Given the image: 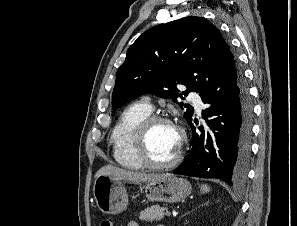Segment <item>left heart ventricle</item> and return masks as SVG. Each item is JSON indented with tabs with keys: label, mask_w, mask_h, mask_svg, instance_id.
Wrapping results in <instances>:
<instances>
[{
	"label": "left heart ventricle",
	"mask_w": 297,
	"mask_h": 226,
	"mask_svg": "<svg viewBox=\"0 0 297 226\" xmlns=\"http://www.w3.org/2000/svg\"><path fill=\"white\" fill-rule=\"evenodd\" d=\"M178 131L167 123L155 124L147 139V148L150 157L156 162L170 160L178 147Z\"/></svg>",
	"instance_id": "obj_1"
}]
</instances>
